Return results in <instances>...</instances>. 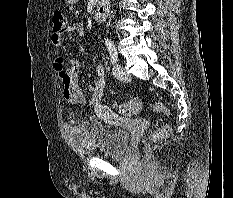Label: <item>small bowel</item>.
<instances>
[{
    "mask_svg": "<svg viewBox=\"0 0 233 198\" xmlns=\"http://www.w3.org/2000/svg\"><path fill=\"white\" fill-rule=\"evenodd\" d=\"M84 24L75 22L72 25L65 26L60 32H54L51 35V43L54 47H61L64 42V36L74 34L82 36L84 34ZM80 63L76 59H65L61 55H57L53 61V69L63 84V97L65 101L73 105H86L94 108L99 118L106 119L108 117L106 109L100 103L106 86L105 69L99 65L96 67V80L87 85L90 97H85L83 91L78 85V74L80 71Z\"/></svg>",
    "mask_w": 233,
    "mask_h": 198,
    "instance_id": "c3829d8e",
    "label": "small bowel"
}]
</instances>
